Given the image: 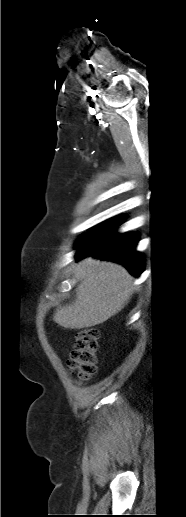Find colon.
<instances>
[{
	"instance_id": "colon-1",
	"label": "colon",
	"mask_w": 186,
	"mask_h": 517,
	"mask_svg": "<svg viewBox=\"0 0 186 517\" xmlns=\"http://www.w3.org/2000/svg\"><path fill=\"white\" fill-rule=\"evenodd\" d=\"M99 331L96 328L79 330L75 335V345L71 352L69 368L81 380H88L97 369Z\"/></svg>"
}]
</instances>
